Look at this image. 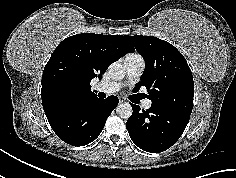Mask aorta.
I'll return each mask as SVG.
<instances>
[{"label":"aorta","instance_id":"762f6f07","mask_svg":"<svg viewBox=\"0 0 236 178\" xmlns=\"http://www.w3.org/2000/svg\"><path fill=\"white\" fill-rule=\"evenodd\" d=\"M108 72L113 79L119 80L124 78L125 69L120 62H113L108 67ZM116 112L119 117L128 119L133 113L132 106L129 103H121L117 106Z\"/></svg>","mask_w":236,"mask_h":178}]
</instances>
